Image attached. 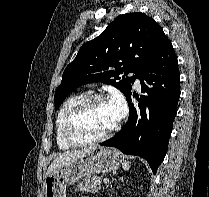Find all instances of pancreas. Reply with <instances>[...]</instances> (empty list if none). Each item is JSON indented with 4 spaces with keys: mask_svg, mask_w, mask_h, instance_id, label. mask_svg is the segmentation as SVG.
<instances>
[{
    "mask_svg": "<svg viewBox=\"0 0 209 197\" xmlns=\"http://www.w3.org/2000/svg\"><path fill=\"white\" fill-rule=\"evenodd\" d=\"M101 182H102L101 177H93V178L87 177L78 183L77 187L75 188V191L76 192L85 191V192L95 193L99 189H101L102 187Z\"/></svg>",
    "mask_w": 209,
    "mask_h": 197,
    "instance_id": "cf45deb5",
    "label": "pancreas"
}]
</instances>
